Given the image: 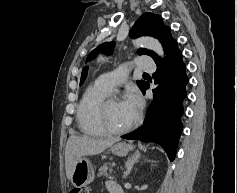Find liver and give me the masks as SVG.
Listing matches in <instances>:
<instances>
[{"mask_svg":"<svg viewBox=\"0 0 237 193\" xmlns=\"http://www.w3.org/2000/svg\"><path fill=\"white\" fill-rule=\"evenodd\" d=\"M119 141V138L96 139L89 136L71 135L65 148V168L68 180L71 179L75 163L84 156L102 153Z\"/></svg>","mask_w":237,"mask_h":193,"instance_id":"liver-1","label":"liver"}]
</instances>
